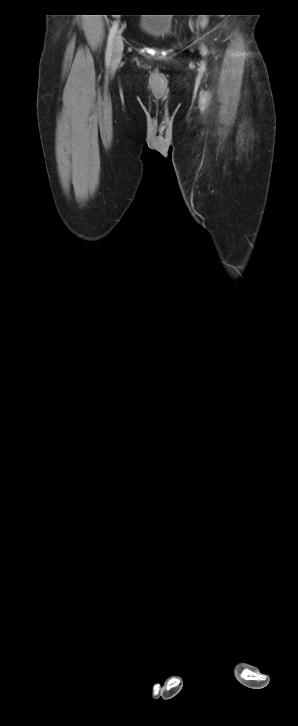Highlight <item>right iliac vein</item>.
I'll list each match as a JSON object with an SVG mask.
<instances>
[{
    "label": "right iliac vein",
    "mask_w": 298,
    "mask_h": 726,
    "mask_svg": "<svg viewBox=\"0 0 298 726\" xmlns=\"http://www.w3.org/2000/svg\"><path fill=\"white\" fill-rule=\"evenodd\" d=\"M123 47H124V45H123V39H122L121 35L118 34L116 36V38H115L114 45H113V56H112V58H113L114 61H119L120 60V58L122 56V52H123Z\"/></svg>",
    "instance_id": "obj_1"
}]
</instances>
